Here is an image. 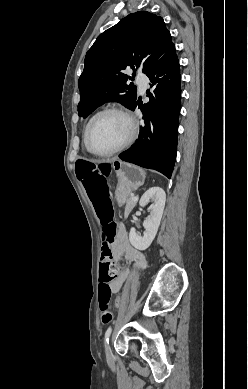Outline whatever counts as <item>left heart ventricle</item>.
<instances>
[{"instance_id":"left-heart-ventricle-1","label":"left heart ventricle","mask_w":248,"mask_h":389,"mask_svg":"<svg viewBox=\"0 0 248 389\" xmlns=\"http://www.w3.org/2000/svg\"><path fill=\"white\" fill-rule=\"evenodd\" d=\"M129 125L120 115L110 113L95 121L89 132V146L97 152H106L120 145L127 137Z\"/></svg>"}]
</instances>
